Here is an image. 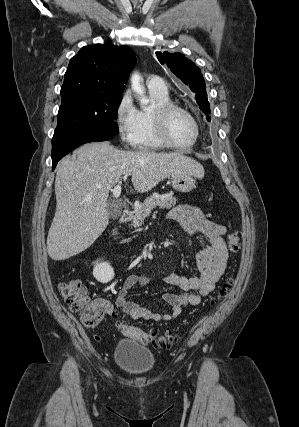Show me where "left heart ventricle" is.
Wrapping results in <instances>:
<instances>
[{
  "instance_id": "obj_1",
  "label": "left heart ventricle",
  "mask_w": 299,
  "mask_h": 427,
  "mask_svg": "<svg viewBox=\"0 0 299 427\" xmlns=\"http://www.w3.org/2000/svg\"><path fill=\"white\" fill-rule=\"evenodd\" d=\"M167 132L173 142L185 145L194 139L195 128L189 116L180 111H173L167 118Z\"/></svg>"
}]
</instances>
